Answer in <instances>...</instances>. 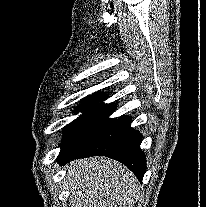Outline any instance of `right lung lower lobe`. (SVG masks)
Wrapping results in <instances>:
<instances>
[{"mask_svg":"<svg viewBox=\"0 0 206 207\" xmlns=\"http://www.w3.org/2000/svg\"><path fill=\"white\" fill-rule=\"evenodd\" d=\"M141 141L140 132L131 128V118L121 116L81 147L61 150L57 160L62 165L77 158L106 156L126 165L142 181L146 162Z\"/></svg>","mask_w":206,"mask_h":207,"instance_id":"right-lung-lower-lobe-1","label":"right lung lower lobe"}]
</instances>
